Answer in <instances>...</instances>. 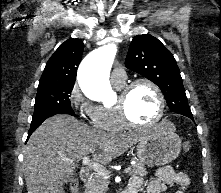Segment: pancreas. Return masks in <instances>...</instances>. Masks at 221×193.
<instances>
[{
    "instance_id": "1",
    "label": "pancreas",
    "mask_w": 221,
    "mask_h": 193,
    "mask_svg": "<svg viewBox=\"0 0 221 193\" xmlns=\"http://www.w3.org/2000/svg\"><path fill=\"white\" fill-rule=\"evenodd\" d=\"M130 176H146L147 170L142 162L132 165ZM108 176L95 173L93 178L86 185L85 193H106L108 190Z\"/></svg>"
}]
</instances>
